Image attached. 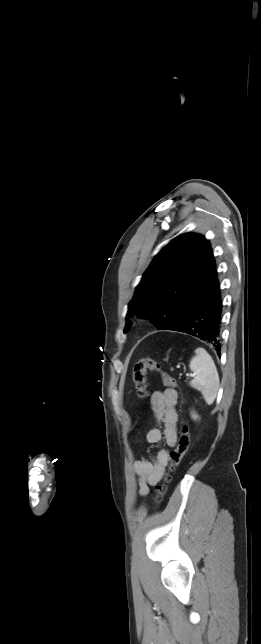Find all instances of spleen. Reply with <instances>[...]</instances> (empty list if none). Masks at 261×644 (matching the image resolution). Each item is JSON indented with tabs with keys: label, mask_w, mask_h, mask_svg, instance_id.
<instances>
[{
	"label": "spleen",
	"mask_w": 261,
	"mask_h": 644,
	"mask_svg": "<svg viewBox=\"0 0 261 644\" xmlns=\"http://www.w3.org/2000/svg\"><path fill=\"white\" fill-rule=\"evenodd\" d=\"M189 367L195 374L190 382L191 387L200 391L205 402L211 405L219 389V376L213 359L205 349L197 348Z\"/></svg>",
	"instance_id": "3e777b00"
}]
</instances>
